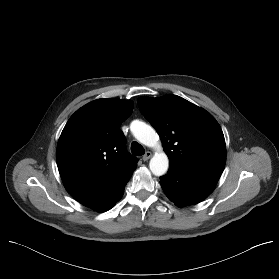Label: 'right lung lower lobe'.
Segmentation results:
<instances>
[{"mask_svg": "<svg viewBox=\"0 0 279 279\" xmlns=\"http://www.w3.org/2000/svg\"><path fill=\"white\" fill-rule=\"evenodd\" d=\"M131 175L125 178L123 181L115 185L114 187L89 198L80 200L79 202L91 209L96 211H107L115 206L116 202H118L123 193L124 187L129 181Z\"/></svg>", "mask_w": 279, "mask_h": 279, "instance_id": "98d812e1", "label": "right lung lower lobe"}]
</instances>
